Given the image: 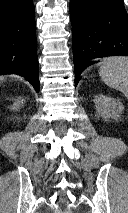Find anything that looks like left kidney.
<instances>
[{
  "label": "left kidney",
  "instance_id": "left-kidney-1",
  "mask_svg": "<svg viewBox=\"0 0 128 213\" xmlns=\"http://www.w3.org/2000/svg\"><path fill=\"white\" fill-rule=\"evenodd\" d=\"M97 115L107 118H119L124 107L121 102L105 95H96L94 99Z\"/></svg>",
  "mask_w": 128,
  "mask_h": 213
}]
</instances>
